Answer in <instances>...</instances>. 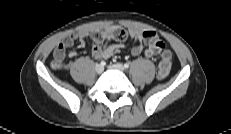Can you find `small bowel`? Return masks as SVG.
I'll use <instances>...</instances> for the list:
<instances>
[{
  "label": "small bowel",
  "instance_id": "c3829d8e",
  "mask_svg": "<svg viewBox=\"0 0 231 134\" xmlns=\"http://www.w3.org/2000/svg\"><path fill=\"white\" fill-rule=\"evenodd\" d=\"M117 27H110L100 32L104 36L106 43L100 45L92 38V34L87 31H76L66 36L54 49L53 57L56 61H64L66 57V49L73 46L77 40L81 42L90 39L92 41V56L95 59H108L118 53H120L125 46L122 44H110L113 39L112 32ZM128 34L134 40L135 45L131 48L132 56H139L141 53L147 58H152L158 55L164 48V43L158 34L151 30H140L131 28L128 30ZM70 58L77 56L76 51H70L68 53Z\"/></svg>",
  "mask_w": 231,
  "mask_h": 134
}]
</instances>
